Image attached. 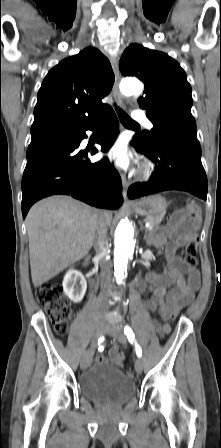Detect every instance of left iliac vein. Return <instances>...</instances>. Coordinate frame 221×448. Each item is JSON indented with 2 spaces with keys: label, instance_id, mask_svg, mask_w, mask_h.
<instances>
[{
  "label": "left iliac vein",
  "instance_id": "1",
  "mask_svg": "<svg viewBox=\"0 0 221 448\" xmlns=\"http://www.w3.org/2000/svg\"><path fill=\"white\" fill-rule=\"evenodd\" d=\"M106 333L117 339L121 344H125L126 338L123 333L122 326L118 324L109 325L106 328ZM135 370L137 373H141L143 369V363L140 358H137L134 363Z\"/></svg>",
  "mask_w": 221,
  "mask_h": 448
}]
</instances>
